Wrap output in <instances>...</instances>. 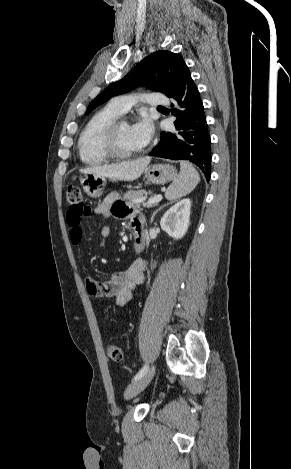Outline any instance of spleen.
<instances>
[{
	"label": "spleen",
	"mask_w": 291,
	"mask_h": 469,
	"mask_svg": "<svg viewBox=\"0 0 291 469\" xmlns=\"http://www.w3.org/2000/svg\"><path fill=\"white\" fill-rule=\"evenodd\" d=\"M200 182L197 170L187 161L180 162V173L177 179L167 188L165 197L168 200H177L190 192Z\"/></svg>",
	"instance_id": "spleen-1"
}]
</instances>
